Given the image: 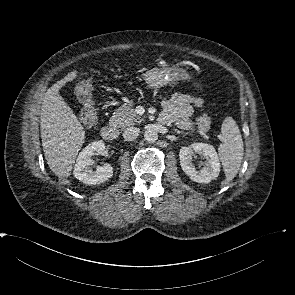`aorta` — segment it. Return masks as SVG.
Masks as SVG:
<instances>
[{
	"instance_id": "obj_1",
	"label": "aorta",
	"mask_w": 295,
	"mask_h": 295,
	"mask_svg": "<svg viewBox=\"0 0 295 295\" xmlns=\"http://www.w3.org/2000/svg\"><path fill=\"white\" fill-rule=\"evenodd\" d=\"M144 138L148 143H154L158 139V133L155 129H147L144 132Z\"/></svg>"
}]
</instances>
